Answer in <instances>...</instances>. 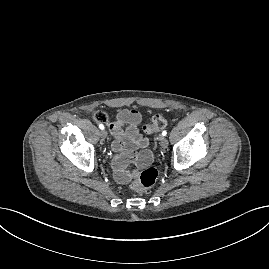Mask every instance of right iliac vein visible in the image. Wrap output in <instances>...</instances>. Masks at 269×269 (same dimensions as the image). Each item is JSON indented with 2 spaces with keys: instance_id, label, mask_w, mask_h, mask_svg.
Listing matches in <instances>:
<instances>
[{
  "instance_id": "63e3f726",
  "label": "right iliac vein",
  "mask_w": 269,
  "mask_h": 269,
  "mask_svg": "<svg viewBox=\"0 0 269 269\" xmlns=\"http://www.w3.org/2000/svg\"><path fill=\"white\" fill-rule=\"evenodd\" d=\"M100 136H101V138L104 140V139L107 137V132H106L105 130H102V131L100 132Z\"/></svg>"
}]
</instances>
